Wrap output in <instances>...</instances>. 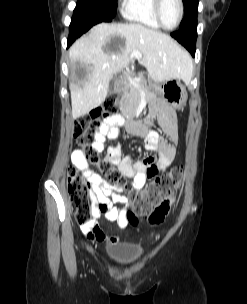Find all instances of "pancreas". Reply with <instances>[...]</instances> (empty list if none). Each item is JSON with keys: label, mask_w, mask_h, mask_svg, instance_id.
Segmentation results:
<instances>
[{"label": "pancreas", "mask_w": 247, "mask_h": 304, "mask_svg": "<svg viewBox=\"0 0 247 304\" xmlns=\"http://www.w3.org/2000/svg\"><path fill=\"white\" fill-rule=\"evenodd\" d=\"M137 82L139 84V89L130 82L125 85L128 86V89H125V87L123 89L119 104H122V109L120 110L125 116H131L136 113L142 96L140 90L145 93L144 96L147 101L156 98V85H147V82H144L142 79L138 80Z\"/></svg>", "instance_id": "cf45deb5"}]
</instances>
